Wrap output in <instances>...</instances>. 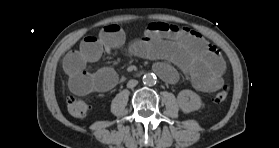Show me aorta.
Instances as JSON below:
<instances>
[{
	"mask_svg": "<svg viewBox=\"0 0 279 148\" xmlns=\"http://www.w3.org/2000/svg\"><path fill=\"white\" fill-rule=\"evenodd\" d=\"M142 80L145 85L152 86L156 83V76L153 73H147Z\"/></svg>",
	"mask_w": 279,
	"mask_h": 148,
	"instance_id": "762f6f07",
	"label": "aorta"
}]
</instances>
